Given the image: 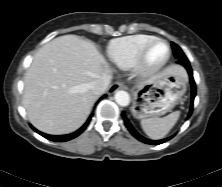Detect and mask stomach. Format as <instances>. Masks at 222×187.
Wrapping results in <instances>:
<instances>
[{
    "mask_svg": "<svg viewBox=\"0 0 222 187\" xmlns=\"http://www.w3.org/2000/svg\"><path fill=\"white\" fill-rule=\"evenodd\" d=\"M185 72L164 70L149 82L139 84L133 92L131 112L135 118L159 117L170 112L186 91Z\"/></svg>",
    "mask_w": 222,
    "mask_h": 187,
    "instance_id": "stomach-1",
    "label": "stomach"
}]
</instances>
